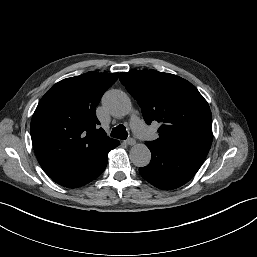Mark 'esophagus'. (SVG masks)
<instances>
[{
	"label": "esophagus",
	"instance_id": "obj_1",
	"mask_svg": "<svg viewBox=\"0 0 257 257\" xmlns=\"http://www.w3.org/2000/svg\"><path fill=\"white\" fill-rule=\"evenodd\" d=\"M125 143L127 145L132 146V145H134L136 143V141L134 139L130 138V139L126 140Z\"/></svg>",
	"mask_w": 257,
	"mask_h": 257
}]
</instances>
